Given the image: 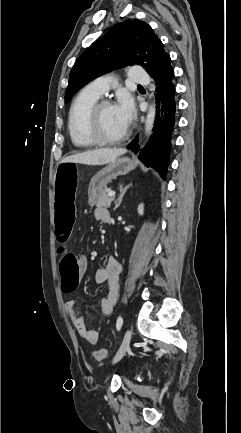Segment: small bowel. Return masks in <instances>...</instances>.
Instances as JSON below:
<instances>
[{
    "instance_id": "obj_1",
    "label": "small bowel",
    "mask_w": 241,
    "mask_h": 433,
    "mask_svg": "<svg viewBox=\"0 0 241 433\" xmlns=\"http://www.w3.org/2000/svg\"><path fill=\"white\" fill-rule=\"evenodd\" d=\"M94 217L98 221H106V219L110 217V214L105 207L101 206L95 208ZM78 262L80 271L85 272L87 269V260L85 257H80ZM121 271L122 267L120 262L113 257L107 258L105 265L99 267L95 271V282L98 284L106 283L108 287L107 294L100 300V308L104 315H110L112 313L118 300L121 286ZM65 309L78 334L87 343L96 345L99 338V328L89 329L86 326L85 321L79 312L76 301H67Z\"/></svg>"
}]
</instances>
